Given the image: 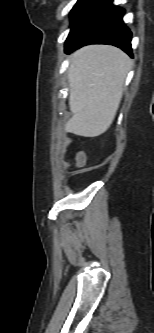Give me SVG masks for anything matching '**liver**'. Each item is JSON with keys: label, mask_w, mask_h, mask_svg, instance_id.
I'll return each mask as SVG.
<instances>
[{"label": "liver", "mask_w": 154, "mask_h": 333, "mask_svg": "<svg viewBox=\"0 0 154 333\" xmlns=\"http://www.w3.org/2000/svg\"><path fill=\"white\" fill-rule=\"evenodd\" d=\"M131 59L109 45H90L71 55L68 69L72 117L64 130L97 137L108 130L119 108Z\"/></svg>", "instance_id": "1"}]
</instances>
